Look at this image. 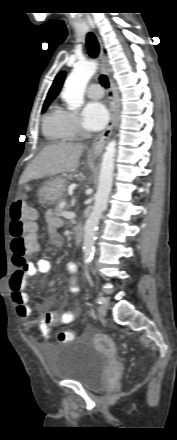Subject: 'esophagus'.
Here are the masks:
<instances>
[{"instance_id": "1", "label": "esophagus", "mask_w": 177, "mask_h": 440, "mask_svg": "<svg viewBox=\"0 0 177 440\" xmlns=\"http://www.w3.org/2000/svg\"><path fill=\"white\" fill-rule=\"evenodd\" d=\"M99 41L101 43L100 39H99ZM100 59H101L103 71L107 75H110V64L108 62L107 56L104 53L102 44H101V51H100ZM108 95H109V103H110V120L107 125V128L92 143L91 148H90V154H92V155H98L102 152L105 144L107 143L108 139L111 136V133H112V130H113V127L115 124L116 101H115V93H114V88H113L112 83H111Z\"/></svg>"}]
</instances>
